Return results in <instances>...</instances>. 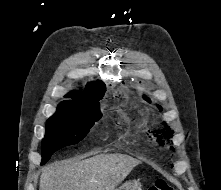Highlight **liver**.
I'll list each match as a JSON object with an SVG mask.
<instances>
[{
    "label": "liver",
    "instance_id": "1",
    "mask_svg": "<svg viewBox=\"0 0 221 190\" xmlns=\"http://www.w3.org/2000/svg\"><path fill=\"white\" fill-rule=\"evenodd\" d=\"M139 164L120 153L56 161L42 169L39 190H114Z\"/></svg>",
    "mask_w": 221,
    "mask_h": 190
}]
</instances>
